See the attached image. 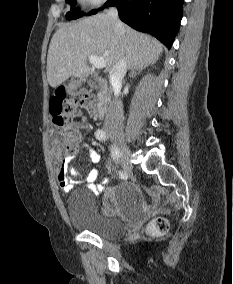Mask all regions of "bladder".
I'll use <instances>...</instances> for the list:
<instances>
[{
	"mask_svg": "<svg viewBox=\"0 0 233 284\" xmlns=\"http://www.w3.org/2000/svg\"><path fill=\"white\" fill-rule=\"evenodd\" d=\"M112 194L117 202L124 205H135L140 202L139 192L129 184L117 187ZM105 203L110 204L108 197ZM67 211L75 228L91 232L103 239L118 238L127 230L123 220L100 213L93 195L86 190H75L70 194Z\"/></svg>",
	"mask_w": 233,
	"mask_h": 284,
	"instance_id": "obj_1",
	"label": "bladder"
}]
</instances>
